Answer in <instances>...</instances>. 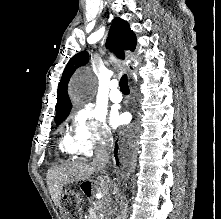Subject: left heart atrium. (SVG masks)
Returning a JSON list of instances; mask_svg holds the SVG:
<instances>
[{"label":"left heart atrium","mask_w":221,"mask_h":219,"mask_svg":"<svg viewBox=\"0 0 221 219\" xmlns=\"http://www.w3.org/2000/svg\"><path fill=\"white\" fill-rule=\"evenodd\" d=\"M123 120V114L119 112H113L110 116V123L112 127H117L118 125L122 124Z\"/></svg>","instance_id":"1"}]
</instances>
